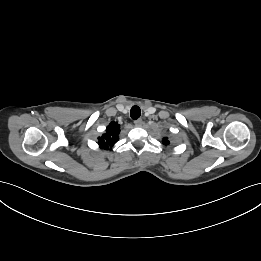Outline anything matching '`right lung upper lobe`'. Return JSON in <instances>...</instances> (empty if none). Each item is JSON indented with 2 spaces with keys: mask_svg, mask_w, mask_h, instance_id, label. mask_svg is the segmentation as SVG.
I'll return each instance as SVG.
<instances>
[{
  "mask_svg": "<svg viewBox=\"0 0 261 261\" xmlns=\"http://www.w3.org/2000/svg\"><path fill=\"white\" fill-rule=\"evenodd\" d=\"M119 132L120 125L116 122H111L106 129V133L99 138V147L105 150L111 148L118 141Z\"/></svg>",
  "mask_w": 261,
  "mask_h": 261,
  "instance_id": "cb5924a9",
  "label": "right lung upper lobe"
}]
</instances>
